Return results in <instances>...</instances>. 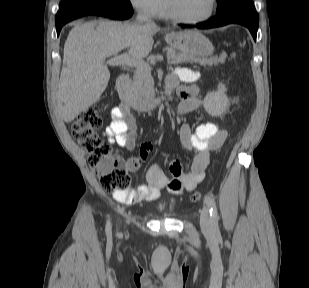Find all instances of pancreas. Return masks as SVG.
<instances>
[{
    "label": "pancreas",
    "instance_id": "cf45deb5",
    "mask_svg": "<svg viewBox=\"0 0 309 288\" xmlns=\"http://www.w3.org/2000/svg\"><path fill=\"white\" fill-rule=\"evenodd\" d=\"M167 57L172 64H181L187 62H195L202 66H213L223 64L226 61V53H222L219 56L209 57H190L183 53H178L176 50L167 47ZM151 70L137 69L134 72L133 79L130 83V90L132 93L134 102H143L155 95L154 81L150 73Z\"/></svg>",
    "mask_w": 309,
    "mask_h": 288
}]
</instances>
